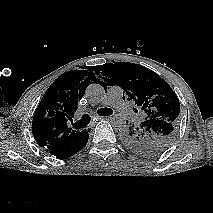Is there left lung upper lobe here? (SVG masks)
Listing matches in <instances>:
<instances>
[{"label": "left lung upper lobe", "instance_id": "left-lung-upper-lobe-1", "mask_svg": "<svg viewBox=\"0 0 213 213\" xmlns=\"http://www.w3.org/2000/svg\"><path fill=\"white\" fill-rule=\"evenodd\" d=\"M95 71L104 76L102 85L120 86L136 105L133 111L139 114L138 121L122 132L127 148L146 157L166 150L177 136L180 112L179 99L169 84L154 71L134 63H106Z\"/></svg>", "mask_w": 213, "mask_h": 213}]
</instances>
